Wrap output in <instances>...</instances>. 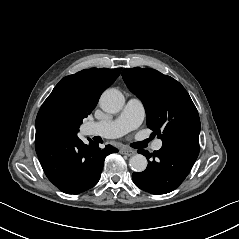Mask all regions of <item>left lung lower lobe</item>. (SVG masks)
Masks as SVG:
<instances>
[{"label": "left lung lower lobe", "mask_w": 239, "mask_h": 239, "mask_svg": "<svg viewBox=\"0 0 239 239\" xmlns=\"http://www.w3.org/2000/svg\"><path fill=\"white\" fill-rule=\"evenodd\" d=\"M138 152L146 156L148 166L145 171L132 174L134 183L149 193L166 194L189 174L199 154V139L181 137L163 142L162 148L153 154Z\"/></svg>", "instance_id": "0a47b994"}]
</instances>
